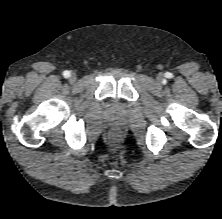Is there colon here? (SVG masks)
Masks as SVG:
<instances>
[{
  "label": "colon",
  "mask_w": 222,
  "mask_h": 219,
  "mask_svg": "<svg viewBox=\"0 0 222 219\" xmlns=\"http://www.w3.org/2000/svg\"><path fill=\"white\" fill-rule=\"evenodd\" d=\"M109 140L111 143L116 144L120 140V133L118 131H112L109 134Z\"/></svg>",
  "instance_id": "colon-1"
}]
</instances>
